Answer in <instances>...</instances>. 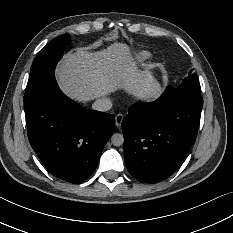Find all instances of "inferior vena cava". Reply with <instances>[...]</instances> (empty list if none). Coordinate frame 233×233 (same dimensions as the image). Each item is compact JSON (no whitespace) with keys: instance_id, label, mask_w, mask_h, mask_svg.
I'll return each mask as SVG.
<instances>
[{"instance_id":"obj_1","label":"inferior vena cava","mask_w":233,"mask_h":233,"mask_svg":"<svg viewBox=\"0 0 233 233\" xmlns=\"http://www.w3.org/2000/svg\"><path fill=\"white\" fill-rule=\"evenodd\" d=\"M112 106L111 100L108 98H99L92 104V109L105 112Z\"/></svg>"}]
</instances>
